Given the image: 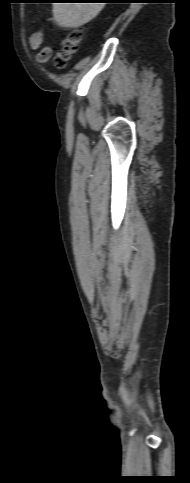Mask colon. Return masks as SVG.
I'll return each instance as SVG.
<instances>
[{"label": "colon", "mask_w": 190, "mask_h": 483, "mask_svg": "<svg viewBox=\"0 0 190 483\" xmlns=\"http://www.w3.org/2000/svg\"><path fill=\"white\" fill-rule=\"evenodd\" d=\"M81 40V34L79 32H74L71 34L68 42L65 44V46L58 52L56 59H55V65L58 68H63L70 56L76 51L77 45L79 44Z\"/></svg>", "instance_id": "obj_1"}]
</instances>
